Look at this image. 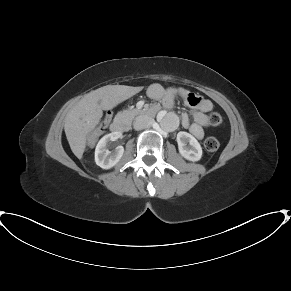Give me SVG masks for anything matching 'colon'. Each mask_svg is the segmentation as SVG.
Returning a JSON list of instances; mask_svg holds the SVG:
<instances>
[{
  "mask_svg": "<svg viewBox=\"0 0 291 291\" xmlns=\"http://www.w3.org/2000/svg\"><path fill=\"white\" fill-rule=\"evenodd\" d=\"M111 120V115L109 114L106 117V121ZM208 124L210 126H218L223 122V118L220 113L212 112L208 115ZM205 149L208 152H215L219 148V141L215 137H208L204 142Z\"/></svg>",
  "mask_w": 291,
  "mask_h": 291,
  "instance_id": "1",
  "label": "colon"
}]
</instances>
